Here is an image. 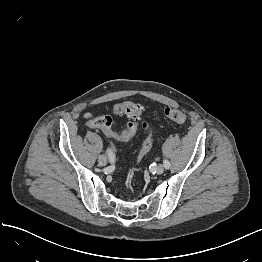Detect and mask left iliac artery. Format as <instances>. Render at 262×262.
Returning a JSON list of instances; mask_svg holds the SVG:
<instances>
[{"label": "left iliac artery", "instance_id": "1", "mask_svg": "<svg viewBox=\"0 0 262 262\" xmlns=\"http://www.w3.org/2000/svg\"><path fill=\"white\" fill-rule=\"evenodd\" d=\"M163 164H164V167H165L166 169H169L170 166H171L170 162H169L168 160H166V159H164Z\"/></svg>", "mask_w": 262, "mask_h": 262}]
</instances>
